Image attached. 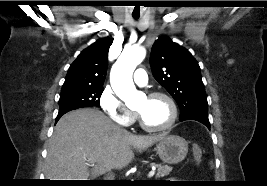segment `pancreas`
Wrapping results in <instances>:
<instances>
[{"instance_id":"cf45deb5","label":"pancreas","mask_w":267,"mask_h":186,"mask_svg":"<svg viewBox=\"0 0 267 186\" xmlns=\"http://www.w3.org/2000/svg\"><path fill=\"white\" fill-rule=\"evenodd\" d=\"M152 165L156 166L157 168L156 178L167 176L172 171V167L168 165H161V164H152Z\"/></svg>"}]
</instances>
